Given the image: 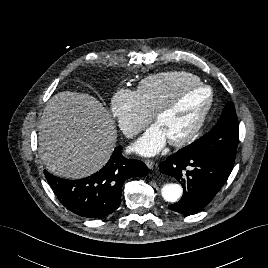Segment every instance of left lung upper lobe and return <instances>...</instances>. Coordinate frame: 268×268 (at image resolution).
<instances>
[{"instance_id":"obj_1","label":"left lung upper lobe","mask_w":268,"mask_h":268,"mask_svg":"<svg viewBox=\"0 0 268 268\" xmlns=\"http://www.w3.org/2000/svg\"><path fill=\"white\" fill-rule=\"evenodd\" d=\"M238 133L235 107L233 102H228L216 125L206 135L180 151L189 155L217 157L234 164Z\"/></svg>"}]
</instances>
